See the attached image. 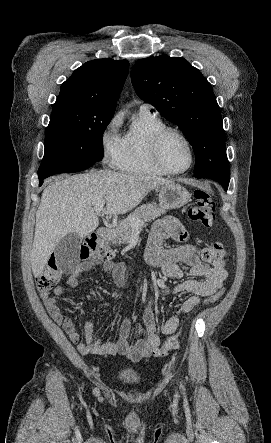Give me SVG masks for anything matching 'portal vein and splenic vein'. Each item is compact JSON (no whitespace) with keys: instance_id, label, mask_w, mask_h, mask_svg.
I'll return each mask as SVG.
<instances>
[{"instance_id":"1","label":"portal vein and splenic vein","mask_w":271,"mask_h":443,"mask_svg":"<svg viewBox=\"0 0 271 443\" xmlns=\"http://www.w3.org/2000/svg\"><path fill=\"white\" fill-rule=\"evenodd\" d=\"M104 206H105V200H100L98 204H94L93 206L94 212H96V214H101ZM142 223L143 222H140V220H135V218H132L131 220V225H142Z\"/></svg>"}]
</instances>
